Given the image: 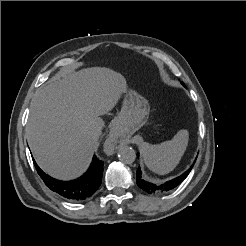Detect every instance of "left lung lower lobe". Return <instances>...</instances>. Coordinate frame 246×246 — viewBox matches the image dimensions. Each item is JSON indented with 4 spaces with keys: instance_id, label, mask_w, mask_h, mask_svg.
<instances>
[{
    "instance_id": "1",
    "label": "left lung lower lobe",
    "mask_w": 246,
    "mask_h": 246,
    "mask_svg": "<svg viewBox=\"0 0 246 246\" xmlns=\"http://www.w3.org/2000/svg\"><path fill=\"white\" fill-rule=\"evenodd\" d=\"M137 156H139V153L137 154ZM192 167H190L186 172H184L182 175H180L177 178H174L170 181L165 182L163 185H155L152 184L150 182L145 181L142 177H141V170L140 168L137 169V184L138 186L143 189L144 191H146L149 194H159V193H164L167 191H170L172 189H174L176 186H178L190 173Z\"/></svg>"
}]
</instances>
